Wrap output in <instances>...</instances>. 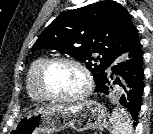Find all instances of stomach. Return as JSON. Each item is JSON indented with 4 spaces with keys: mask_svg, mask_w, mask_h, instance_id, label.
I'll use <instances>...</instances> for the list:
<instances>
[{
    "mask_svg": "<svg viewBox=\"0 0 153 134\" xmlns=\"http://www.w3.org/2000/svg\"><path fill=\"white\" fill-rule=\"evenodd\" d=\"M107 123L104 107L94 100L75 105H55L37 108L26 113L12 132L14 134H54L66 128L77 132L99 129Z\"/></svg>",
    "mask_w": 153,
    "mask_h": 134,
    "instance_id": "1",
    "label": "stomach"
}]
</instances>
